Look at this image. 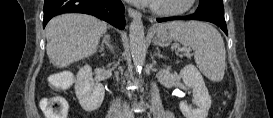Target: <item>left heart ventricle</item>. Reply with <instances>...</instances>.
<instances>
[{
    "label": "left heart ventricle",
    "mask_w": 273,
    "mask_h": 118,
    "mask_svg": "<svg viewBox=\"0 0 273 118\" xmlns=\"http://www.w3.org/2000/svg\"><path fill=\"white\" fill-rule=\"evenodd\" d=\"M184 0H159L157 5L165 8H176L183 4Z\"/></svg>",
    "instance_id": "b2bd125f"
}]
</instances>
